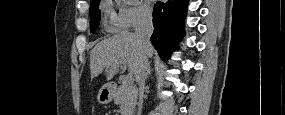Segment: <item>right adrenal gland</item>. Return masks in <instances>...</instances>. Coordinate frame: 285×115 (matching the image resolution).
<instances>
[{"label": "right adrenal gland", "mask_w": 285, "mask_h": 115, "mask_svg": "<svg viewBox=\"0 0 285 115\" xmlns=\"http://www.w3.org/2000/svg\"><path fill=\"white\" fill-rule=\"evenodd\" d=\"M150 63L147 66V73H146V78L148 77V75L151 73V69H150Z\"/></svg>", "instance_id": "2a0ac1e0"}]
</instances>
